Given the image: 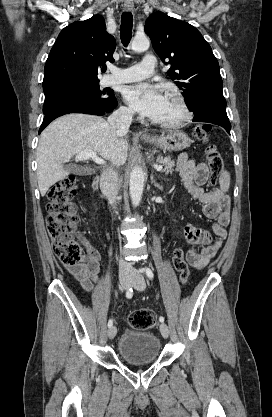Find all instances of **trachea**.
Segmentation results:
<instances>
[{"label":"trachea","mask_w":272,"mask_h":417,"mask_svg":"<svg viewBox=\"0 0 272 417\" xmlns=\"http://www.w3.org/2000/svg\"><path fill=\"white\" fill-rule=\"evenodd\" d=\"M133 16L124 12L121 17L120 37L122 44L127 47L132 37Z\"/></svg>","instance_id":"1"}]
</instances>
